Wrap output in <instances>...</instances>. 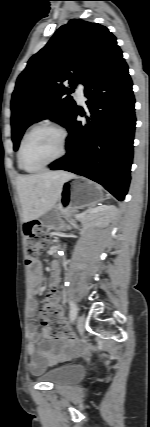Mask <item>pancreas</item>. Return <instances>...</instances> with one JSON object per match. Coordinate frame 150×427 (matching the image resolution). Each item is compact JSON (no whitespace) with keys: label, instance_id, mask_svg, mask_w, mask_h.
Masks as SVG:
<instances>
[{"label":"pancreas","instance_id":"obj_1","mask_svg":"<svg viewBox=\"0 0 150 427\" xmlns=\"http://www.w3.org/2000/svg\"><path fill=\"white\" fill-rule=\"evenodd\" d=\"M65 217H66V219H67L70 223H72V222H73V220L70 218V216H69V215H66ZM76 218H81V215H77V216H76Z\"/></svg>","mask_w":150,"mask_h":427}]
</instances>
